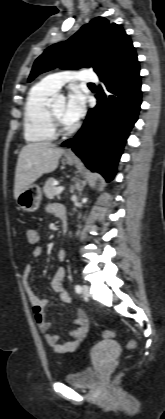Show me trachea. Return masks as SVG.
<instances>
[{
    "label": "trachea",
    "instance_id": "1",
    "mask_svg": "<svg viewBox=\"0 0 165 419\" xmlns=\"http://www.w3.org/2000/svg\"><path fill=\"white\" fill-rule=\"evenodd\" d=\"M89 85H94L93 83H90Z\"/></svg>",
    "mask_w": 165,
    "mask_h": 419
}]
</instances>
